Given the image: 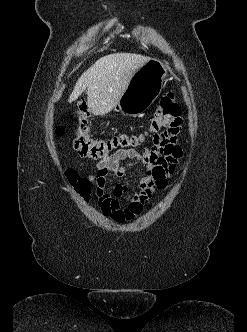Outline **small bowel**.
Wrapping results in <instances>:
<instances>
[{"mask_svg": "<svg viewBox=\"0 0 247 332\" xmlns=\"http://www.w3.org/2000/svg\"><path fill=\"white\" fill-rule=\"evenodd\" d=\"M176 135L168 138L161 145L135 149H120L108 157H104L96 164V173L89 176V181L96 188L99 206L103 215L116 222H124L138 216L151 197L159 190H164L168 178L174 173L177 163L182 156V150L177 144ZM133 160L146 167V176L140 182V190L135 194L128 193L126 184H118L110 194L105 191L108 173L116 177H123L126 172L122 162Z\"/></svg>", "mask_w": 247, "mask_h": 332, "instance_id": "c3829d8e", "label": "small bowel"}]
</instances>
